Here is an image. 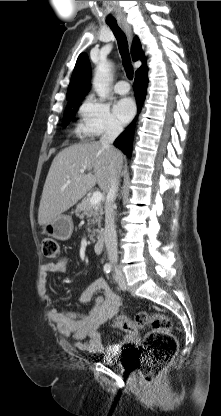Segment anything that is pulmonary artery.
I'll use <instances>...</instances> for the list:
<instances>
[{
	"mask_svg": "<svg viewBox=\"0 0 221 416\" xmlns=\"http://www.w3.org/2000/svg\"><path fill=\"white\" fill-rule=\"evenodd\" d=\"M114 90L116 93L120 94V95H125L128 94L130 91V87L129 84L126 80L121 79L118 80L115 84Z\"/></svg>",
	"mask_w": 221,
	"mask_h": 416,
	"instance_id": "obj_1",
	"label": "pulmonary artery"
}]
</instances>
